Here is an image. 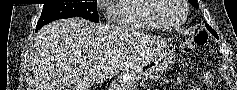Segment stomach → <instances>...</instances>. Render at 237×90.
<instances>
[{"label":"stomach","instance_id":"stomach-1","mask_svg":"<svg viewBox=\"0 0 237 90\" xmlns=\"http://www.w3.org/2000/svg\"><path fill=\"white\" fill-rule=\"evenodd\" d=\"M172 63L173 57L167 53L141 61L119 73L110 90H132L139 80L164 72Z\"/></svg>","mask_w":237,"mask_h":90}]
</instances>
